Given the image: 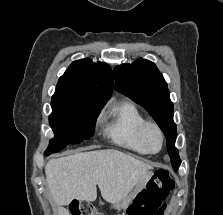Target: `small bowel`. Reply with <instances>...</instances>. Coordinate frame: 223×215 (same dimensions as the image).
Segmentation results:
<instances>
[{"label":"small bowel","instance_id":"small-bowel-1","mask_svg":"<svg viewBox=\"0 0 223 215\" xmlns=\"http://www.w3.org/2000/svg\"><path fill=\"white\" fill-rule=\"evenodd\" d=\"M163 209H164V206H163ZM163 209H162V211H161V212H159V214H158V215H161V214L163 213Z\"/></svg>","mask_w":223,"mask_h":215}]
</instances>
